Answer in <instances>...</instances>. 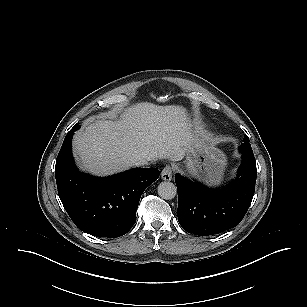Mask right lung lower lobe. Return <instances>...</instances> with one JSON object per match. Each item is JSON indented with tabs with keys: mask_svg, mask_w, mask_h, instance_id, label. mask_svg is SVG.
Wrapping results in <instances>:
<instances>
[{
	"mask_svg": "<svg viewBox=\"0 0 307 307\" xmlns=\"http://www.w3.org/2000/svg\"><path fill=\"white\" fill-rule=\"evenodd\" d=\"M72 128L56 159L60 200L74 224L97 237H119L136 222L144 190L159 177L156 168H135L106 178L80 173L71 154Z\"/></svg>",
	"mask_w": 307,
	"mask_h": 307,
	"instance_id": "1",
	"label": "right lung lower lobe"
}]
</instances>
